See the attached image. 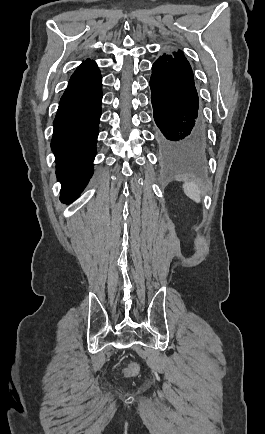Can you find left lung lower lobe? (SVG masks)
<instances>
[{
  "label": "left lung lower lobe",
  "mask_w": 265,
  "mask_h": 434,
  "mask_svg": "<svg viewBox=\"0 0 265 434\" xmlns=\"http://www.w3.org/2000/svg\"><path fill=\"white\" fill-rule=\"evenodd\" d=\"M155 142L172 155H198L208 147L204 122L199 113L194 78L168 54L152 66L150 79Z\"/></svg>",
  "instance_id": "1"
}]
</instances>
